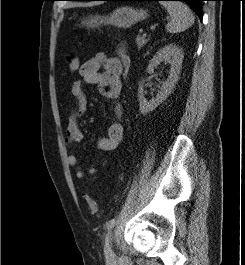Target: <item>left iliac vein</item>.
<instances>
[{"instance_id":"4c4485c4","label":"left iliac vein","mask_w":245,"mask_h":265,"mask_svg":"<svg viewBox=\"0 0 245 265\" xmlns=\"http://www.w3.org/2000/svg\"><path fill=\"white\" fill-rule=\"evenodd\" d=\"M112 239H113V233L109 232L106 236V239H105V255H106V257L112 256V249H111Z\"/></svg>"}]
</instances>
